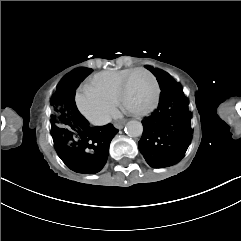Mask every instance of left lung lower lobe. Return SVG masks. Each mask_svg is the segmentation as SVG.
<instances>
[{"label": "left lung lower lobe", "instance_id": "1", "mask_svg": "<svg viewBox=\"0 0 241 241\" xmlns=\"http://www.w3.org/2000/svg\"><path fill=\"white\" fill-rule=\"evenodd\" d=\"M191 113L179 83L161 91L158 108L142 121L143 135L138 147L153 168L179 162L190 144Z\"/></svg>", "mask_w": 241, "mask_h": 241}]
</instances>
